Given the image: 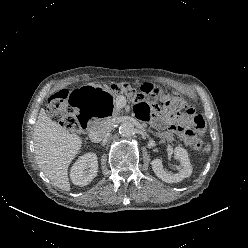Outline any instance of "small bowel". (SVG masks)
I'll use <instances>...</instances> for the list:
<instances>
[{
  "label": "small bowel",
  "mask_w": 248,
  "mask_h": 248,
  "mask_svg": "<svg viewBox=\"0 0 248 248\" xmlns=\"http://www.w3.org/2000/svg\"><path fill=\"white\" fill-rule=\"evenodd\" d=\"M136 116L144 121L163 127L168 126L169 129L178 134L187 144H193L197 137L189 127V116L187 114H169L163 115L154 105L148 103L137 104L135 106Z\"/></svg>",
  "instance_id": "c3829d8e"
}]
</instances>
